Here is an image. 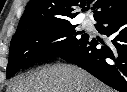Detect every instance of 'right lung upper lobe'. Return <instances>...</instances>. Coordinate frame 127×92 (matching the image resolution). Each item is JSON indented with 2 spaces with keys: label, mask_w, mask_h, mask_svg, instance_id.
<instances>
[{
  "label": "right lung upper lobe",
  "mask_w": 127,
  "mask_h": 92,
  "mask_svg": "<svg viewBox=\"0 0 127 92\" xmlns=\"http://www.w3.org/2000/svg\"><path fill=\"white\" fill-rule=\"evenodd\" d=\"M93 1V0H91ZM90 0H30L18 24L16 38L33 27L70 24L78 13L74 7L84 9ZM94 19L127 9V0H97L94 4Z\"/></svg>",
  "instance_id": "obj_1"
}]
</instances>
